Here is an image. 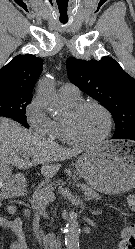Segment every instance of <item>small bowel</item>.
I'll return each mask as SVG.
<instances>
[{
    "mask_svg": "<svg viewBox=\"0 0 135 249\" xmlns=\"http://www.w3.org/2000/svg\"><path fill=\"white\" fill-rule=\"evenodd\" d=\"M1 205L2 203L0 202V207ZM16 210L17 208L13 204L8 205L6 208L7 213L10 215L15 214ZM0 226L8 228L16 238V242L10 249H27L25 236L22 230V219L20 217H16L13 220L0 217Z\"/></svg>",
    "mask_w": 135,
    "mask_h": 249,
    "instance_id": "1",
    "label": "small bowel"
}]
</instances>
